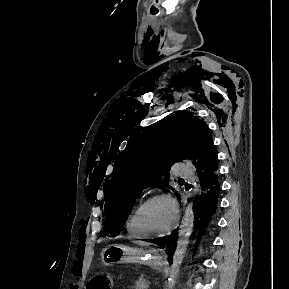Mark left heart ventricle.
<instances>
[{
	"mask_svg": "<svg viewBox=\"0 0 289 289\" xmlns=\"http://www.w3.org/2000/svg\"><path fill=\"white\" fill-rule=\"evenodd\" d=\"M172 219V206L162 199L149 203L140 216L141 225L147 231H162L170 225Z\"/></svg>",
	"mask_w": 289,
	"mask_h": 289,
	"instance_id": "1",
	"label": "left heart ventricle"
}]
</instances>
